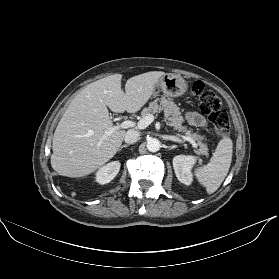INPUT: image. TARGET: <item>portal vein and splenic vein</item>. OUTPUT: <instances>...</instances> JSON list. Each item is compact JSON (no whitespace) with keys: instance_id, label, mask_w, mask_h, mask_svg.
Masks as SVG:
<instances>
[{"instance_id":"18ae733b","label":"portal vein and splenic vein","mask_w":279,"mask_h":279,"mask_svg":"<svg viewBox=\"0 0 279 279\" xmlns=\"http://www.w3.org/2000/svg\"><path fill=\"white\" fill-rule=\"evenodd\" d=\"M153 121H154L153 114H148V115L144 116L137 124L131 120H126V121L122 122L121 124L112 126V128L106 132V135L108 136V135L113 134L116 130L128 129V128L135 127L136 125H137L138 129L142 130V129H145L147 126H149ZM177 136L181 137L185 141L190 142L194 148H197L196 142L193 139H191L190 137L179 135V134H177Z\"/></svg>"}]
</instances>
